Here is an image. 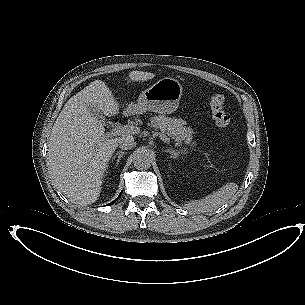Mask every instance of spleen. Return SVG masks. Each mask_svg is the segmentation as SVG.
Segmentation results:
<instances>
[{
	"label": "spleen",
	"mask_w": 305,
	"mask_h": 305,
	"mask_svg": "<svg viewBox=\"0 0 305 305\" xmlns=\"http://www.w3.org/2000/svg\"><path fill=\"white\" fill-rule=\"evenodd\" d=\"M233 185L234 183H227L200 200L190 201L185 208L197 214L212 212L230 198Z\"/></svg>",
	"instance_id": "1"
}]
</instances>
